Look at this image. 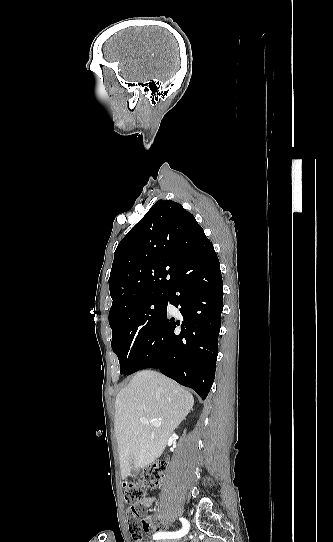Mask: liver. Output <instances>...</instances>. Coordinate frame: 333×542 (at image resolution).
<instances>
[{"label": "liver", "instance_id": "6515ba94", "mask_svg": "<svg viewBox=\"0 0 333 542\" xmlns=\"http://www.w3.org/2000/svg\"><path fill=\"white\" fill-rule=\"evenodd\" d=\"M194 398L166 376L143 370L137 372L116 396L115 434L122 480L131 470L146 468L163 454L169 436L185 420ZM139 418H147V424ZM159 420L161 426H153Z\"/></svg>", "mask_w": 333, "mask_h": 542}]
</instances>
